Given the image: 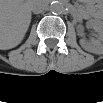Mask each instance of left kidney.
Segmentation results:
<instances>
[{"label": "left kidney", "mask_w": 103, "mask_h": 103, "mask_svg": "<svg viewBox=\"0 0 103 103\" xmlns=\"http://www.w3.org/2000/svg\"><path fill=\"white\" fill-rule=\"evenodd\" d=\"M87 27L93 28L97 32L96 39L90 41L80 39L79 43L81 47L91 53H99L103 50V23L98 20H89L86 23Z\"/></svg>", "instance_id": "5707ae66"}]
</instances>
